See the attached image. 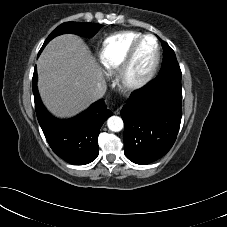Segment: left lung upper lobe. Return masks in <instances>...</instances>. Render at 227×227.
Segmentation results:
<instances>
[{"label":"left lung upper lobe","instance_id":"left-lung-upper-lobe-1","mask_svg":"<svg viewBox=\"0 0 227 227\" xmlns=\"http://www.w3.org/2000/svg\"><path fill=\"white\" fill-rule=\"evenodd\" d=\"M162 47H163V63L157 78L172 79L181 82L182 74L174 51L164 41H162Z\"/></svg>","mask_w":227,"mask_h":227}]
</instances>
